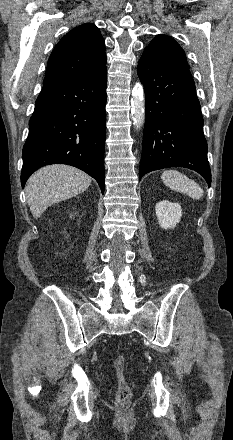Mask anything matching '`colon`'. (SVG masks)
I'll use <instances>...</instances> for the list:
<instances>
[{
	"label": "colon",
	"instance_id": "colon-1",
	"mask_svg": "<svg viewBox=\"0 0 233 440\" xmlns=\"http://www.w3.org/2000/svg\"><path fill=\"white\" fill-rule=\"evenodd\" d=\"M126 359L119 355L114 360V367L118 378V389L115 397L116 405L120 408H126L131 401V387L125 377Z\"/></svg>",
	"mask_w": 233,
	"mask_h": 440
}]
</instances>
